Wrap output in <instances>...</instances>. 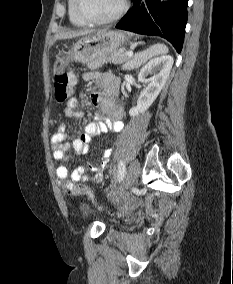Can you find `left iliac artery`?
Here are the masks:
<instances>
[{"instance_id": "1", "label": "left iliac artery", "mask_w": 233, "mask_h": 284, "mask_svg": "<svg viewBox=\"0 0 233 284\" xmlns=\"http://www.w3.org/2000/svg\"><path fill=\"white\" fill-rule=\"evenodd\" d=\"M126 167L124 161L120 160L118 164V181H122L125 177Z\"/></svg>"}]
</instances>
